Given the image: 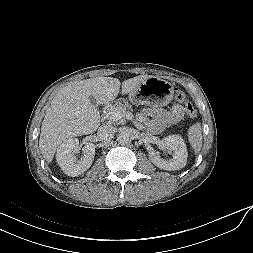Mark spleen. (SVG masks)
<instances>
[{"label":"spleen","mask_w":253,"mask_h":253,"mask_svg":"<svg viewBox=\"0 0 253 253\" xmlns=\"http://www.w3.org/2000/svg\"><path fill=\"white\" fill-rule=\"evenodd\" d=\"M188 141L191 144V147L195 151V153H198L201 150L202 147V126L201 123H195L188 129Z\"/></svg>","instance_id":"obj_1"}]
</instances>
